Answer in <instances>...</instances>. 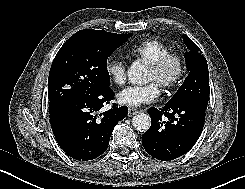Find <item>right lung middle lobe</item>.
<instances>
[{
	"mask_svg": "<svg viewBox=\"0 0 245 189\" xmlns=\"http://www.w3.org/2000/svg\"><path fill=\"white\" fill-rule=\"evenodd\" d=\"M132 34L83 29L72 35L56 54L48 77L49 101L90 94L110 86L108 57Z\"/></svg>",
	"mask_w": 245,
	"mask_h": 189,
	"instance_id": "1",
	"label": "right lung middle lobe"
}]
</instances>
